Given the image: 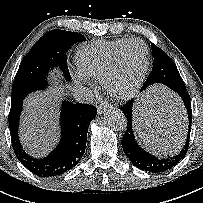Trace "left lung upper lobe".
<instances>
[{
    "mask_svg": "<svg viewBox=\"0 0 203 203\" xmlns=\"http://www.w3.org/2000/svg\"><path fill=\"white\" fill-rule=\"evenodd\" d=\"M151 48L154 57L153 70L148 76L146 82L144 83V87L147 88L149 85L154 83H162L174 89L173 85L170 83L173 78L176 82L181 81L182 84H180L179 86H183L184 90H186L185 84L179 74V71L174 62L170 59V57L162 49H160L153 43H151ZM172 75L175 76L173 77Z\"/></svg>",
    "mask_w": 203,
    "mask_h": 203,
    "instance_id": "1",
    "label": "left lung upper lobe"
}]
</instances>
